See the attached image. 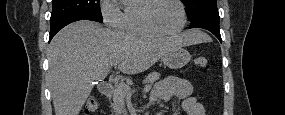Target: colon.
I'll use <instances>...</instances> for the list:
<instances>
[{
  "label": "colon",
  "mask_w": 285,
  "mask_h": 115,
  "mask_svg": "<svg viewBox=\"0 0 285 115\" xmlns=\"http://www.w3.org/2000/svg\"><path fill=\"white\" fill-rule=\"evenodd\" d=\"M196 67L207 70L208 69V60L204 56H198L195 59ZM99 109V103L95 98H89L85 104V114H94Z\"/></svg>",
  "instance_id": "obj_1"
}]
</instances>
